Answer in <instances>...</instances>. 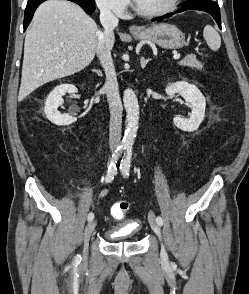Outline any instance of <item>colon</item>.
<instances>
[{
    "label": "colon",
    "instance_id": "obj_1",
    "mask_svg": "<svg viewBox=\"0 0 249 294\" xmlns=\"http://www.w3.org/2000/svg\"><path fill=\"white\" fill-rule=\"evenodd\" d=\"M129 210V203L127 201H119L113 206L112 213L116 218H122Z\"/></svg>",
    "mask_w": 249,
    "mask_h": 294
}]
</instances>
